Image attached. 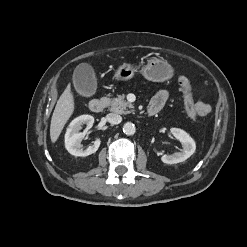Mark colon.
<instances>
[{
    "label": "colon",
    "instance_id": "obj_1",
    "mask_svg": "<svg viewBox=\"0 0 247 247\" xmlns=\"http://www.w3.org/2000/svg\"><path fill=\"white\" fill-rule=\"evenodd\" d=\"M178 85L184 96V103L186 111L189 117L192 120H196L198 116H200V111L197 108L196 104H194L192 94H191V85L187 77L179 76Z\"/></svg>",
    "mask_w": 247,
    "mask_h": 247
}]
</instances>
